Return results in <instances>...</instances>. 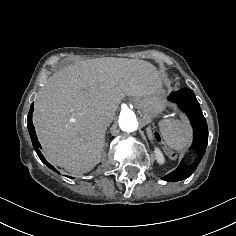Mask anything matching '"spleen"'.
<instances>
[{
  "mask_svg": "<svg viewBox=\"0 0 236 236\" xmlns=\"http://www.w3.org/2000/svg\"><path fill=\"white\" fill-rule=\"evenodd\" d=\"M161 132L167 144L174 149H184L189 143L190 129L178 121H163Z\"/></svg>",
  "mask_w": 236,
  "mask_h": 236,
  "instance_id": "spleen-1",
  "label": "spleen"
}]
</instances>
